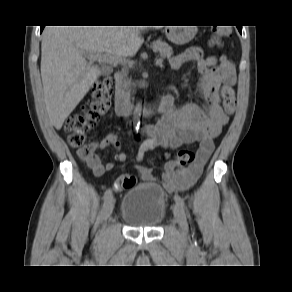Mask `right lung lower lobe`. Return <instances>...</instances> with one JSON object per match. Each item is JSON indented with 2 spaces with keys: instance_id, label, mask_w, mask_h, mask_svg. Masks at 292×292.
I'll use <instances>...</instances> for the list:
<instances>
[{
  "instance_id": "right-lung-lower-lobe-1",
  "label": "right lung lower lobe",
  "mask_w": 292,
  "mask_h": 292,
  "mask_svg": "<svg viewBox=\"0 0 292 292\" xmlns=\"http://www.w3.org/2000/svg\"><path fill=\"white\" fill-rule=\"evenodd\" d=\"M45 26H40V32L44 29Z\"/></svg>"
}]
</instances>
